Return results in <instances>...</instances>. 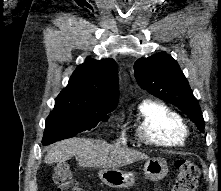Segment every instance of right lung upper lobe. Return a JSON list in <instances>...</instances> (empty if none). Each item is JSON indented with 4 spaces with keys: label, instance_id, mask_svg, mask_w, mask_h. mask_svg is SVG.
Instances as JSON below:
<instances>
[{
    "label": "right lung upper lobe",
    "instance_id": "cb5924a9",
    "mask_svg": "<svg viewBox=\"0 0 221 191\" xmlns=\"http://www.w3.org/2000/svg\"><path fill=\"white\" fill-rule=\"evenodd\" d=\"M118 71L113 59L87 58L55 99V107L113 111L118 102Z\"/></svg>",
    "mask_w": 221,
    "mask_h": 191
}]
</instances>
